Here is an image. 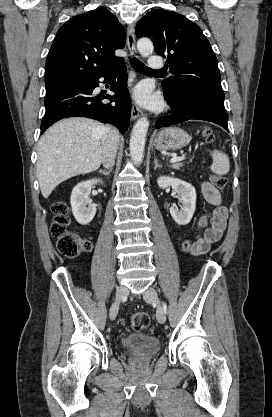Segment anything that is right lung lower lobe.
Instances as JSON below:
<instances>
[{"instance_id":"98d812e1","label":"right lung lower lobe","mask_w":272,"mask_h":417,"mask_svg":"<svg viewBox=\"0 0 272 417\" xmlns=\"http://www.w3.org/2000/svg\"><path fill=\"white\" fill-rule=\"evenodd\" d=\"M101 77L104 78V82L112 84L110 90L115 92V95L93 93L99 86ZM126 81L125 64L122 60L101 74L53 89L45 99L46 113L41 122V132L62 118L81 116L114 124L124 134L129 125L131 111ZM103 99H109L111 102L104 103Z\"/></svg>"}]
</instances>
